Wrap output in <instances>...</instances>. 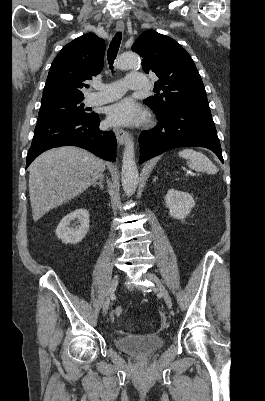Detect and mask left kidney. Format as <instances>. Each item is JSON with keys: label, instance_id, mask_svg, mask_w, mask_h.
<instances>
[{"label": "left kidney", "instance_id": "5707ae66", "mask_svg": "<svg viewBox=\"0 0 265 401\" xmlns=\"http://www.w3.org/2000/svg\"><path fill=\"white\" fill-rule=\"evenodd\" d=\"M165 203L173 219H185L195 205L192 194L176 190V188H169L165 196Z\"/></svg>", "mask_w": 265, "mask_h": 401}]
</instances>
